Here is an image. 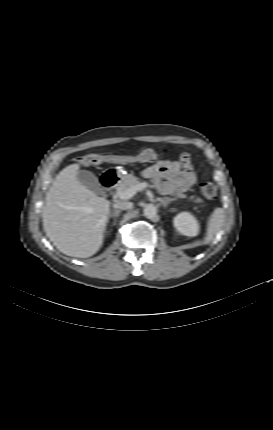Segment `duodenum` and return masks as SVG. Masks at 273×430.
Instances as JSON below:
<instances>
[{
  "mask_svg": "<svg viewBox=\"0 0 273 430\" xmlns=\"http://www.w3.org/2000/svg\"><path fill=\"white\" fill-rule=\"evenodd\" d=\"M118 181V176L111 171L104 173L101 177V184L107 190L113 189L117 185Z\"/></svg>",
  "mask_w": 273,
  "mask_h": 430,
  "instance_id": "410a0bca",
  "label": "duodenum"
}]
</instances>
